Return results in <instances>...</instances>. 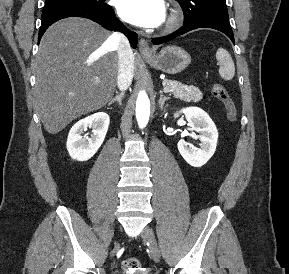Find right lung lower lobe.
<instances>
[{
  "label": "right lung lower lobe",
  "mask_w": 289,
  "mask_h": 274,
  "mask_svg": "<svg viewBox=\"0 0 289 274\" xmlns=\"http://www.w3.org/2000/svg\"><path fill=\"white\" fill-rule=\"evenodd\" d=\"M67 17L87 18L100 24L108 30L121 31L128 37L130 44L133 48H136L137 46V34L128 30L123 25V23L118 18H116L112 7L107 4L103 8L67 5L43 10L42 23L39 30L38 41H40L44 32L51 24Z\"/></svg>",
  "instance_id": "1"
}]
</instances>
